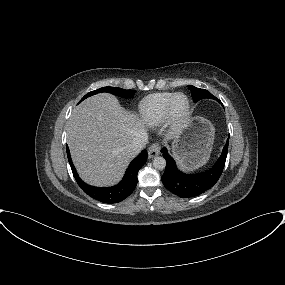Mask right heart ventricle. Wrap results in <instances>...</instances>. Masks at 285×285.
Segmentation results:
<instances>
[{
  "instance_id": "obj_1",
  "label": "right heart ventricle",
  "mask_w": 285,
  "mask_h": 285,
  "mask_svg": "<svg viewBox=\"0 0 285 285\" xmlns=\"http://www.w3.org/2000/svg\"><path fill=\"white\" fill-rule=\"evenodd\" d=\"M176 93H157L146 97L139 105V112L144 122L159 125L167 118L170 100Z\"/></svg>"
}]
</instances>
